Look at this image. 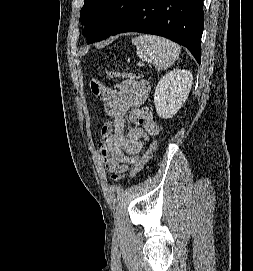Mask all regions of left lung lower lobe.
I'll use <instances>...</instances> for the list:
<instances>
[{
	"label": "left lung lower lobe",
	"mask_w": 253,
	"mask_h": 271,
	"mask_svg": "<svg viewBox=\"0 0 253 271\" xmlns=\"http://www.w3.org/2000/svg\"><path fill=\"white\" fill-rule=\"evenodd\" d=\"M202 4L203 0H133L129 14L111 35L139 32L163 36L185 46L200 63Z\"/></svg>",
	"instance_id": "0a47b994"
}]
</instances>
